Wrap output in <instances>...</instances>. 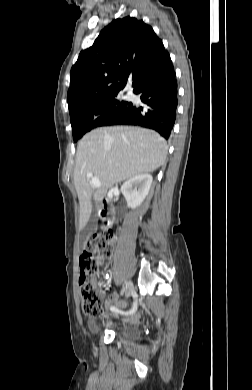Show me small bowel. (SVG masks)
Listing matches in <instances>:
<instances>
[{
    "mask_svg": "<svg viewBox=\"0 0 252 390\" xmlns=\"http://www.w3.org/2000/svg\"><path fill=\"white\" fill-rule=\"evenodd\" d=\"M102 262H103V260L100 259L99 263H102ZM112 304H117L119 307H126L127 306V303L119 300V296H118L117 293L110 294L109 297L105 301V307L106 308H109ZM125 317H126V319H128V320H130L132 322H136L140 318V313L136 312L134 316L128 315V316H125Z\"/></svg>",
    "mask_w": 252,
    "mask_h": 390,
    "instance_id": "obj_1",
    "label": "small bowel"
}]
</instances>
